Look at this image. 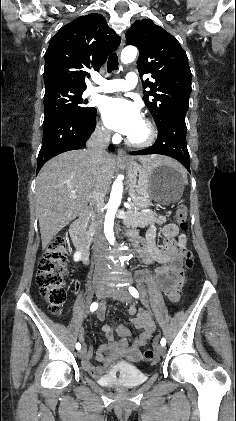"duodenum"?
<instances>
[{
  "mask_svg": "<svg viewBox=\"0 0 236 421\" xmlns=\"http://www.w3.org/2000/svg\"><path fill=\"white\" fill-rule=\"evenodd\" d=\"M88 219V211L82 210L74 219L69 227V233L73 244L78 251L82 261L88 262L89 257V242L84 232V227ZM129 237L132 244L136 247L145 263L159 264L161 267L156 270V277L162 291L167 295L171 301H175L178 297V289L183 281L181 272V256L174 243H168L163 250H159L154 246H150L146 241L140 238L135 231L129 232ZM141 282V292L143 296L147 297V290L145 286V271L139 272ZM136 325L143 330L141 337L134 344L137 347L145 337V323L142 319L136 320ZM120 335H126L120 332ZM126 344L124 340L110 343L104 346L103 350L106 356L100 353L97 359L104 363V367H94L90 364L91 352L88 351L84 356L83 366L94 377H99L105 371V367L112 363L121 353L125 351Z\"/></svg>",
  "mask_w": 236,
  "mask_h": 421,
  "instance_id": "duodenum-1",
  "label": "duodenum"
}]
</instances>
